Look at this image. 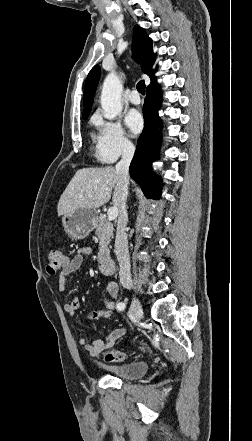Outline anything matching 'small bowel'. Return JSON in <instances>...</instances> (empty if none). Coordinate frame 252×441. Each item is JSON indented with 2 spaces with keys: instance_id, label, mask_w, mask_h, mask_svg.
I'll use <instances>...</instances> for the list:
<instances>
[{
  "instance_id": "small-bowel-1",
  "label": "small bowel",
  "mask_w": 252,
  "mask_h": 441,
  "mask_svg": "<svg viewBox=\"0 0 252 441\" xmlns=\"http://www.w3.org/2000/svg\"><path fill=\"white\" fill-rule=\"evenodd\" d=\"M91 254L90 248L80 249L76 255L69 261L65 269H63L59 276V291L65 292L68 288V276L74 271L78 270L83 263L84 257ZM119 298L118 285L115 282H109L106 285L103 305L112 309L118 305ZM80 308V300L74 297L70 302L64 306L65 311L74 316ZM126 333L124 328H118L110 332L104 337L93 339L92 336L82 337L79 340L80 345L93 357L100 358L106 350L113 347Z\"/></svg>"
}]
</instances>
